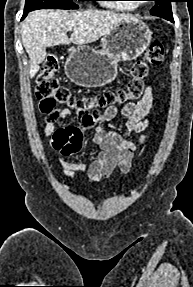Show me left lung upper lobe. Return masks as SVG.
I'll list each match as a JSON object with an SVG mask.
<instances>
[{"label": "left lung upper lobe", "mask_w": 193, "mask_h": 287, "mask_svg": "<svg viewBox=\"0 0 193 287\" xmlns=\"http://www.w3.org/2000/svg\"><path fill=\"white\" fill-rule=\"evenodd\" d=\"M155 6L150 10L151 15L158 16L172 21L173 15L171 10V2L173 0H152Z\"/></svg>", "instance_id": "1"}]
</instances>
